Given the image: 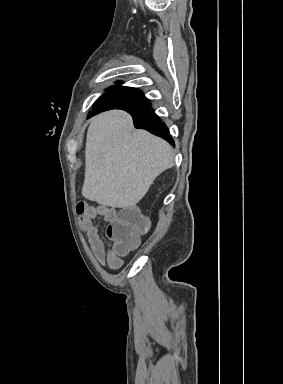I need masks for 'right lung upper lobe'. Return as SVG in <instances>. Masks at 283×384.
Returning a JSON list of instances; mask_svg holds the SVG:
<instances>
[{"mask_svg":"<svg viewBox=\"0 0 283 384\" xmlns=\"http://www.w3.org/2000/svg\"><path fill=\"white\" fill-rule=\"evenodd\" d=\"M115 87H122V86H115ZM123 88H129V87H123ZM135 89V88H134Z\"/></svg>","mask_w":283,"mask_h":384,"instance_id":"obj_1","label":"right lung upper lobe"}]
</instances>
